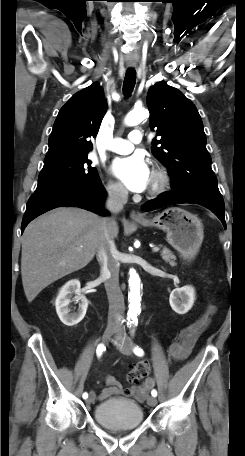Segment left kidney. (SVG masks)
I'll return each instance as SVG.
<instances>
[{"label": "left kidney", "instance_id": "obj_1", "mask_svg": "<svg viewBox=\"0 0 245 456\" xmlns=\"http://www.w3.org/2000/svg\"><path fill=\"white\" fill-rule=\"evenodd\" d=\"M195 301V290L192 286L174 289L169 297L171 308L178 314L187 313Z\"/></svg>", "mask_w": 245, "mask_h": 456}]
</instances>
